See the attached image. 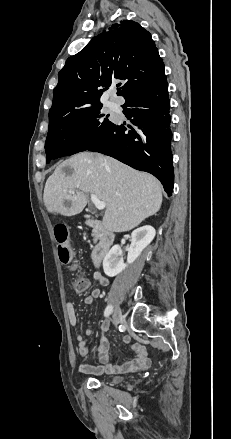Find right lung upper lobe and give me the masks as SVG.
Instances as JSON below:
<instances>
[{
	"instance_id": "right-lung-upper-lobe-1",
	"label": "right lung upper lobe",
	"mask_w": 231,
	"mask_h": 439,
	"mask_svg": "<svg viewBox=\"0 0 231 439\" xmlns=\"http://www.w3.org/2000/svg\"><path fill=\"white\" fill-rule=\"evenodd\" d=\"M164 77L150 33L137 22L120 21L67 59L53 91L49 122L102 105L100 97L115 79L123 81L117 94L126 99Z\"/></svg>"
}]
</instances>
